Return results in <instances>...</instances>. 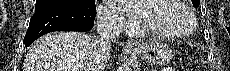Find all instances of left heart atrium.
I'll use <instances>...</instances> for the list:
<instances>
[{
	"label": "left heart atrium",
	"mask_w": 230,
	"mask_h": 71,
	"mask_svg": "<svg viewBox=\"0 0 230 71\" xmlns=\"http://www.w3.org/2000/svg\"><path fill=\"white\" fill-rule=\"evenodd\" d=\"M113 3H116L118 5H122L132 15H137V14H140V12H141L140 6L130 4V1L115 0V1H113Z\"/></svg>",
	"instance_id": "39dd6f15"
}]
</instances>
